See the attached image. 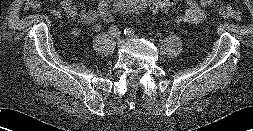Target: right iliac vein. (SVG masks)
<instances>
[{
  "label": "right iliac vein",
  "instance_id": "63e3f726",
  "mask_svg": "<svg viewBox=\"0 0 253 131\" xmlns=\"http://www.w3.org/2000/svg\"><path fill=\"white\" fill-rule=\"evenodd\" d=\"M124 44V40L123 39H119L117 41V47H121Z\"/></svg>",
  "mask_w": 253,
  "mask_h": 131
}]
</instances>
